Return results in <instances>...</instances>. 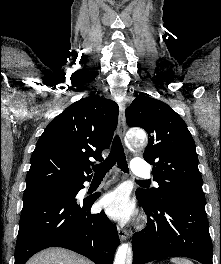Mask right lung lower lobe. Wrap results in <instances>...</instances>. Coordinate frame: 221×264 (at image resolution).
<instances>
[{"mask_svg":"<svg viewBox=\"0 0 221 264\" xmlns=\"http://www.w3.org/2000/svg\"><path fill=\"white\" fill-rule=\"evenodd\" d=\"M76 195L23 198L15 264H25L35 253L54 246L75 251L96 264H113L120 244L116 226L104 212L90 213L98 196L78 201Z\"/></svg>","mask_w":221,"mask_h":264,"instance_id":"98d812e1","label":"right lung lower lobe"}]
</instances>
